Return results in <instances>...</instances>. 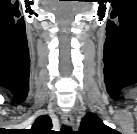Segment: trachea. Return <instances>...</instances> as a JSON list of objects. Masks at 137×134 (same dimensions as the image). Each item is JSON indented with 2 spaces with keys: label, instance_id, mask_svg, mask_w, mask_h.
Segmentation results:
<instances>
[{
  "label": "trachea",
  "instance_id": "3493384b",
  "mask_svg": "<svg viewBox=\"0 0 137 134\" xmlns=\"http://www.w3.org/2000/svg\"><path fill=\"white\" fill-rule=\"evenodd\" d=\"M63 132H71V128L65 125H62V129Z\"/></svg>",
  "mask_w": 137,
  "mask_h": 134
}]
</instances>
